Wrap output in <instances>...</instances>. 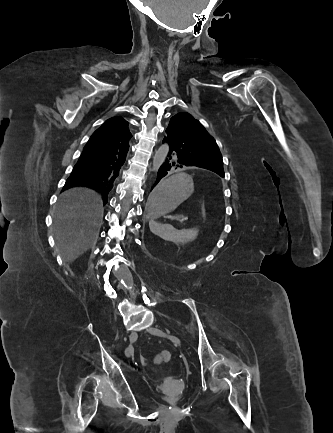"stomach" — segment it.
<instances>
[{"label":"stomach","mask_w":333,"mask_h":433,"mask_svg":"<svg viewBox=\"0 0 333 433\" xmlns=\"http://www.w3.org/2000/svg\"><path fill=\"white\" fill-rule=\"evenodd\" d=\"M193 190L192 178L179 170L169 176H161V183H153L146 201V220H163L164 215H173L183 200L192 199Z\"/></svg>","instance_id":"stomach-1"}]
</instances>
